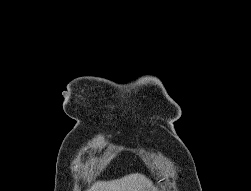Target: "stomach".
<instances>
[{
	"mask_svg": "<svg viewBox=\"0 0 251 191\" xmlns=\"http://www.w3.org/2000/svg\"><path fill=\"white\" fill-rule=\"evenodd\" d=\"M152 191H155V187H152Z\"/></svg>",
	"mask_w": 251,
	"mask_h": 191,
	"instance_id": "stomach-1",
	"label": "stomach"
}]
</instances>
